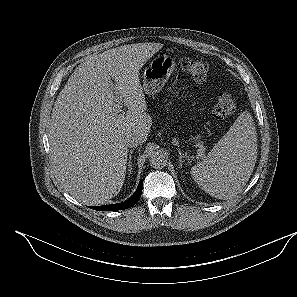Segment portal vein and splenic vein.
Masks as SVG:
<instances>
[{"label":"portal vein and splenic vein","instance_id":"obj_1","mask_svg":"<svg viewBox=\"0 0 297 297\" xmlns=\"http://www.w3.org/2000/svg\"><path fill=\"white\" fill-rule=\"evenodd\" d=\"M114 107L117 111H121L122 102H121V99L117 95L115 97ZM196 146L198 147V151H197L198 156L201 158H204V152L206 149L205 146L202 143H198V144H196Z\"/></svg>","mask_w":297,"mask_h":297}]
</instances>
